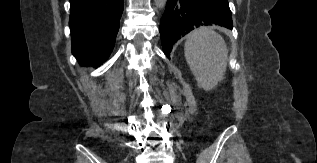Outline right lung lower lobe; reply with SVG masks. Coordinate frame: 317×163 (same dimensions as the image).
Returning <instances> with one entry per match:
<instances>
[{"mask_svg":"<svg viewBox=\"0 0 317 163\" xmlns=\"http://www.w3.org/2000/svg\"><path fill=\"white\" fill-rule=\"evenodd\" d=\"M124 0H70L72 53L81 65L98 66L113 50Z\"/></svg>","mask_w":317,"mask_h":163,"instance_id":"1","label":"right lung lower lobe"}]
</instances>
